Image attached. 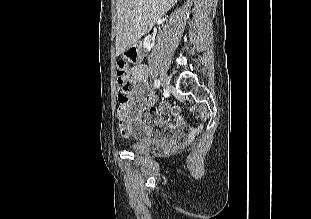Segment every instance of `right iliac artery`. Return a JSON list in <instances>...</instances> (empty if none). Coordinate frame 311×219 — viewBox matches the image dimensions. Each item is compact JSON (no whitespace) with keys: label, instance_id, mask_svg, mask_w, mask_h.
Returning a JSON list of instances; mask_svg holds the SVG:
<instances>
[{"label":"right iliac artery","instance_id":"obj_1","mask_svg":"<svg viewBox=\"0 0 311 219\" xmlns=\"http://www.w3.org/2000/svg\"><path fill=\"white\" fill-rule=\"evenodd\" d=\"M154 86H155L156 88H159V87H160V81H159V80H155V81H154Z\"/></svg>","mask_w":311,"mask_h":219}]
</instances>
